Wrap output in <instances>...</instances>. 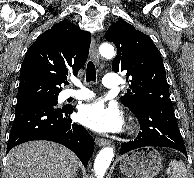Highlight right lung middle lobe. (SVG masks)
I'll return each mask as SVG.
<instances>
[{"label":"right lung middle lobe","mask_w":194,"mask_h":178,"mask_svg":"<svg viewBox=\"0 0 194 178\" xmlns=\"http://www.w3.org/2000/svg\"><path fill=\"white\" fill-rule=\"evenodd\" d=\"M57 99L58 97H52V98H47V99H40V100H35L27 103H45V104H50V105H57ZM26 104V103H23ZM21 105V104H17Z\"/></svg>","instance_id":"dd1d6c3e"}]
</instances>
